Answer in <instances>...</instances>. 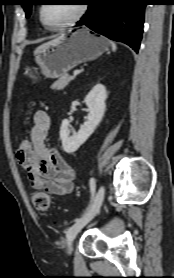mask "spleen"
Here are the masks:
<instances>
[{"instance_id": "3e777b00", "label": "spleen", "mask_w": 174, "mask_h": 278, "mask_svg": "<svg viewBox=\"0 0 174 278\" xmlns=\"http://www.w3.org/2000/svg\"><path fill=\"white\" fill-rule=\"evenodd\" d=\"M110 44H111L112 50L116 51V49H117L116 44L114 42H112V41H110Z\"/></svg>"}]
</instances>
